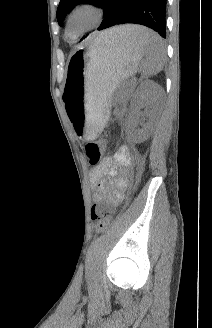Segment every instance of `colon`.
Wrapping results in <instances>:
<instances>
[{"label": "colon", "mask_w": 212, "mask_h": 328, "mask_svg": "<svg viewBox=\"0 0 212 328\" xmlns=\"http://www.w3.org/2000/svg\"><path fill=\"white\" fill-rule=\"evenodd\" d=\"M104 150V142L101 140L92 141L85 145L84 151L89 163L96 165L100 162ZM91 217L98 222L97 229L99 232L106 230L110 223L111 215L104 203H97L91 209Z\"/></svg>", "instance_id": "colon-1"}]
</instances>
